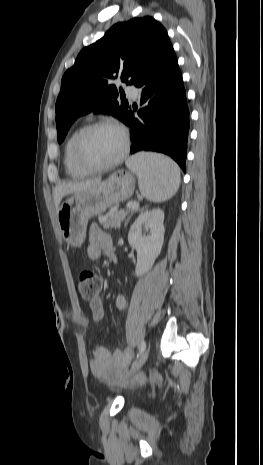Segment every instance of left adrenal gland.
<instances>
[{
    "mask_svg": "<svg viewBox=\"0 0 263 465\" xmlns=\"http://www.w3.org/2000/svg\"><path fill=\"white\" fill-rule=\"evenodd\" d=\"M131 216H132V213H131V215L128 217V219L126 220V222H125V226H126V225H127V223L129 222V220H130Z\"/></svg>",
    "mask_w": 263,
    "mask_h": 465,
    "instance_id": "a2214340",
    "label": "left adrenal gland"
}]
</instances>
